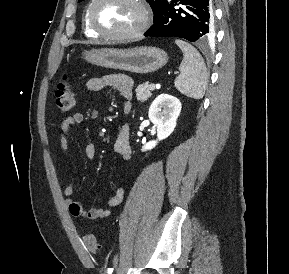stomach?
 <instances>
[{"instance_id":"0dacf381","label":"stomach","mask_w":289,"mask_h":274,"mask_svg":"<svg viewBox=\"0 0 289 274\" xmlns=\"http://www.w3.org/2000/svg\"><path fill=\"white\" fill-rule=\"evenodd\" d=\"M83 57L97 66L140 74L155 72L168 62V55L164 50L149 46L94 49L84 52Z\"/></svg>"}]
</instances>
